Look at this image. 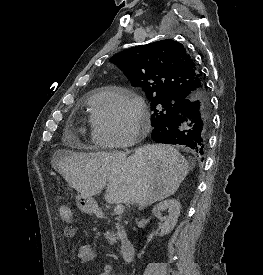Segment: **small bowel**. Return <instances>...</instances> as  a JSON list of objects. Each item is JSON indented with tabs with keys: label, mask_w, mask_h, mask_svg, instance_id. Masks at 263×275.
Masks as SVG:
<instances>
[{
	"label": "small bowel",
	"mask_w": 263,
	"mask_h": 275,
	"mask_svg": "<svg viewBox=\"0 0 263 275\" xmlns=\"http://www.w3.org/2000/svg\"><path fill=\"white\" fill-rule=\"evenodd\" d=\"M75 229L71 226H68L64 229V236L67 238H72L75 236ZM77 258L79 259L80 262L82 263H86L88 261L93 260L94 258V250H93V246L91 245H82L77 254H76ZM112 274V266L110 264H106L103 267L102 272L99 275H111ZM71 275H75V274H71Z\"/></svg>",
	"instance_id": "c3829d8e"
}]
</instances>
